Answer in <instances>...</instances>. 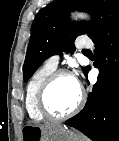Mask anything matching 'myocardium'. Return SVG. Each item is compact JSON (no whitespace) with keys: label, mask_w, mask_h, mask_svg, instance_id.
Wrapping results in <instances>:
<instances>
[{"label":"myocardium","mask_w":119,"mask_h":141,"mask_svg":"<svg viewBox=\"0 0 119 141\" xmlns=\"http://www.w3.org/2000/svg\"><path fill=\"white\" fill-rule=\"evenodd\" d=\"M60 76H70V77H72L76 80L74 74L72 72H70L69 70H67V69H57V70H54L43 81V83L41 84V86H40V88L37 92V97H36L37 108H38L39 112L45 118L50 119V120H64V119H67L69 117H72L73 115H75L76 113H78L80 111V109L83 107V104H84V101H85L84 91L78 85L79 86V99H78L76 105L70 111H68L64 114H54V113H52L46 105V96H47V93H48L50 87L52 86V84Z\"/></svg>","instance_id":"1"}]
</instances>
